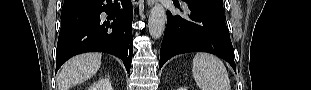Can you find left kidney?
<instances>
[{"mask_svg":"<svg viewBox=\"0 0 311 90\" xmlns=\"http://www.w3.org/2000/svg\"><path fill=\"white\" fill-rule=\"evenodd\" d=\"M177 90H187V88L180 87Z\"/></svg>","mask_w":311,"mask_h":90,"instance_id":"1","label":"left kidney"}]
</instances>
